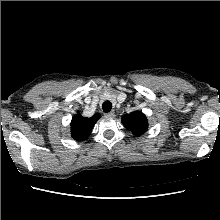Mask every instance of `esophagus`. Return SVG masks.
Masks as SVG:
<instances>
[{"mask_svg":"<svg viewBox=\"0 0 220 220\" xmlns=\"http://www.w3.org/2000/svg\"><path fill=\"white\" fill-rule=\"evenodd\" d=\"M105 115L108 117H112V116H114V111L112 110V111L106 113Z\"/></svg>","mask_w":220,"mask_h":220,"instance_id":"34e87169","label":"esophagus"}]
</instances>
